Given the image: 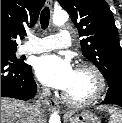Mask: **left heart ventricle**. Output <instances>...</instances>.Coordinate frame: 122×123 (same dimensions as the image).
Returning a JSON list of instances; mask_svg holds the SVG:
<instances>
[{"mask_svg": "<svg viewBox=\"0 0 122 123\" xmlns=\"http://www.w3.org/2000/svg\"><path fill=\"white\" fill-rule=\"evenodd\" d=\"M98 88V80L89 69H76L72 84L65 91L71 98L82 100L92 96Z\"/></svg>", "mask_w": 122, "mask_h": 123, "instance_id": "1", "label": "left heart ventricle"}]
</instances>
